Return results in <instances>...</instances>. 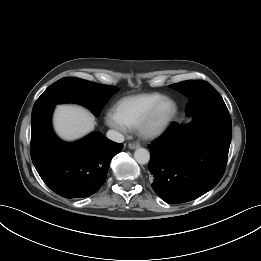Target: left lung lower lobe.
<instances>
[{"mask_svg": "<svg viewBox=\"0 0 261 261\" xmlns=\"http://www.w3.org/2000/svg\"><path fill=\"white\" fill-rule=\"evenodd\" d=\"M231 136L229 112L200 114L187 126L173 122L148 146V168L157 195L179 204L211 190L225 171Z\"/></svg>", "mask_w": 261, "mask_h": 261, "instance_id": "left-lung-lower-lobe-1", "label": "left lung lower lobe"}]
</instances>
